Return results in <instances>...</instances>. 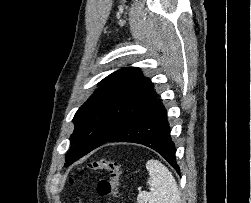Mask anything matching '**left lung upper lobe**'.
<instances>
[{
	"instance_id": "left-lung-upper-lobe-1",
	"label": "left lung upper lobe",
	"mask_w": 251,
	"mask_h": 203,
	"mask_svg": "<svg viewBox=\"0 0 251 203\" xmlns=\"http://www.w3.org/2000/svg\"><path fill=\"white\" fill-rule=\"evenodd\" d=\"M156 99L153 84L139 68H122L104 78L73 118L75 146L67 153L65 166L106 143Z\"/></svg>"
}]
</instances>
